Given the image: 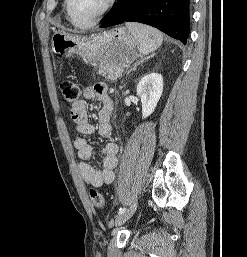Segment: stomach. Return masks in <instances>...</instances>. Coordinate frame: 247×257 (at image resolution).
<instances>
[{
	"label": "stomach",
	"mask_w": 247,
	"mask_h": 257,
	"mask_svg": "<svg viewBox=\"0 0 247 257\" xmlns=\"http://www.w3.org/2000/svg\"><path fill=\"white\" fill-rule=\"evenodd\" d=\"M137 41L126 27H117L91 36H73L58 31L52 36V49L62 56L78 54L93 66L117 63L127 66L138 58Z\"/></svg>",
	"instance_id": "1"
}]
</instances>
